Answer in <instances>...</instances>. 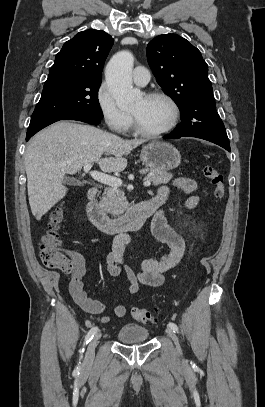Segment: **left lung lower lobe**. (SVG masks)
Masks as SVG:
<instances>
[{
    "mask_svg": "<svg viewBox=\"0 0 265 407\" xmlns=\"http://www.w3.org/2000/svg\"><path fill=\"white\" fill-rule=\"evenodd\" d=\"M180 137H183V136L175 135V134H170V135L165 136V138H180ZM216 144H218L221 147L225 148L226 150L230 151V145L221 144V143H216Z\"/></svg>",
    "mask_w": 265,
    "mask_h": 407,
    "instance_id": "0a47b994",
    "label": "left lung lower lobe"
}]
</instances>
